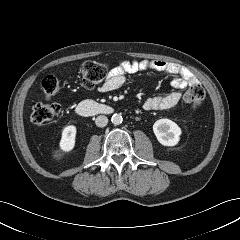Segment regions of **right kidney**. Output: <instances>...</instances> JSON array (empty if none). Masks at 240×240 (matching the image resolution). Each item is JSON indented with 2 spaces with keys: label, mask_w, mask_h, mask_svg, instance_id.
<instances>
[{
  "label": "right kidney",
  "mask_w": 240,
  "mask_h": 240,
  "mask_svg": "<svg viewBox=\"0 0 240 240\" xmlns=\"http://www.w3.org/2000/svg\"><path fill=\"white\" fill-rule=\"evenodd\" d=\"M76 132L77 129L74 125H68L63 129L59 143V147L63 152H69L74 148Z\"/></svg>",
  "instance_id": "1"
}]
</instances>
